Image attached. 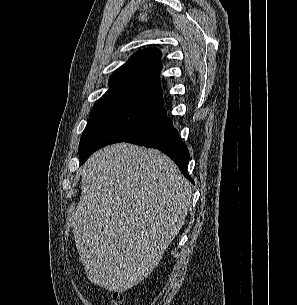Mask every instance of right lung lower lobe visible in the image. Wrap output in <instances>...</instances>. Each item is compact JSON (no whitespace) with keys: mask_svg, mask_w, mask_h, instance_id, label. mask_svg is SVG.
<instances>
[{"mask_svg":"<svg viewBox=\"0 0 297 305\" xmlns=\"http://www.w3.org/2000/svg\"><path fill=\"white\" fill-rule=\"evenodd\" d=\"M125 142L156 148L167 154L177 165L184 176L192 183L187 167L189 151L179 138L177 130L173 127L169 117H164L145 131L125 140Z\"/></svg>","mask_w":297,"mask_h":305,"instance_id":"right-lung-lower-lobe-1","label":"right lung lower lobe"}]
</instances>
